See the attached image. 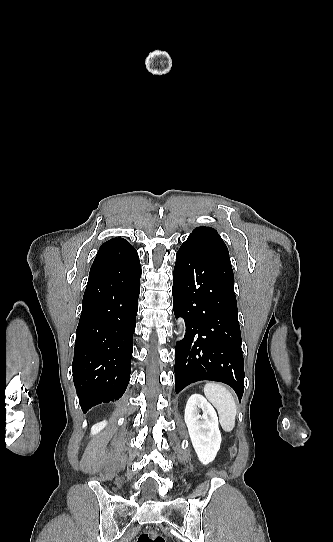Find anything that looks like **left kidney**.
Here are the masks:
<instances>
[{"instance_id":"obj_1","label":"left kidney","mask_w":333,"mask_h":542,"mask_svg":"<svg viewBox=\"0 0 333 542\" xmlns=\"http://www.w3.org/2000/svg\"><path fill=\"white\" fill-rule=\"evenodd\" d=\"M200 410L203 416H200ZM184 420L192 446L201 464L207 466L215 460L222 440L217 414L201 394H192L186 404Z\"/></svg>"}]
</instances>
